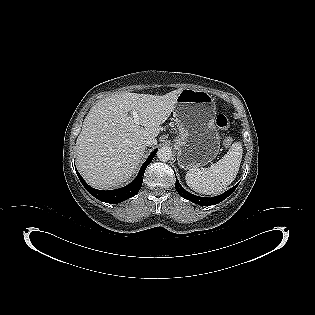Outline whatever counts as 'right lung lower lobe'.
I'll return each mask as SVG.
<instances>
[{
    "label": "right lung lower lobe",
    "mask_w": 315,
    "mask_h": 315,
    "mask_svg": "<svg viewBox=\"0 0 315 315\" xmlns=\"http://www.w3.org/2000/svg\"><path fill=\"white\" fill-rule=\"evenodd\" d=\"M157 152V149L154 150L147 160L143 163L141 166V169L137 175V177L127 186L115 189V190H109V191H102V190H97L92 187H90L84 179L81 177L79 172L76 170V173L85 187V189L93 195L95 198H97L100 201L106 202V203H111V204H117L119 202H122L126 199H129L133 196H135L138 192L139 189L141 188V185L143 183V175L145 172L146 167L151 163L153 157L155 156Z\"/></svg>",
    "instance_id": "1"
}]
</instances>
